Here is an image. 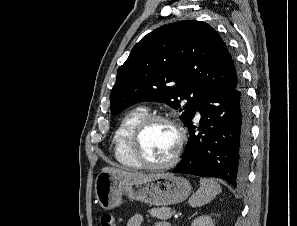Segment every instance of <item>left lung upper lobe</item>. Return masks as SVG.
<instances>
[{
    "label": "left lung upper lobe",
    "instance_id": "1",
    "mask_svg": "<svg viewBox=\"0 0 297 226\" xmlns=\"http://www.w3.org/2000/svg\"><path fill=\"white\" fill-rule=\"evenodd\" d=\"M240 83L225 43L210 25L175 22L155 29L133 47L118 69L111 112L117 114L141 101L164 102L183 111L180 119L186 125L203 92L228 90Z\"/></svg>",
    "mask_w": 297,
    "mask_h": 226
}]
</instances>
